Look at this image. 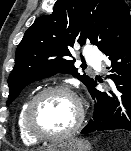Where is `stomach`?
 <instances>
[{
	"label": "stomach",
	"mask_w": 131,
	"mask_h": 151,
	"mask_svg": "<svg viewBox=\"0 0 131 151\" xmlns=\"http://www.w3.org/2000/svg\"><path fill=\"white\" fill-rule=\"evenodd\" d=\"M91 145L85 139L72 138L48 147L44 151H90Z\"/></svg>",
	"instance_id": "stomach-1"
}]
</instances>
